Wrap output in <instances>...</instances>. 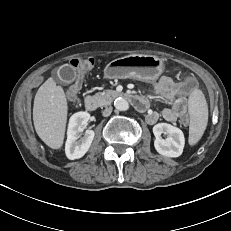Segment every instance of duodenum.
Returning <instances> with one entry per match:
<instances>
[{
  "mask_svg": "<svg viewBox=\"0 0 231 231\" xmlns=\"http://www.w3.org/2000/svg\"><path fill=\"white\" fill-rule=\"evenodd\" d=\"M114 94L115 96H121L128 99V101L137 111L144 112L147 109V101L138 95L130 94L127 92H115ZM84 107L88 112L95 111L98 107L96 98L91 95L86 96L84 99Z\"/></svg>",
  "mask_w": 231,
  "mask_h": 231,
  "instance_id": "duodenum-1",
  "label": "duodenum"
}]
</instances>
